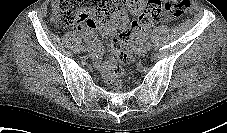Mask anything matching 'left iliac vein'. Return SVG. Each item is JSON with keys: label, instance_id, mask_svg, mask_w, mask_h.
I'll return each instance as SVG.
<instances>
[{"label": "left iliac vein", "instance_id": "obj_1", "mask_svg": "<svg viewBox=\"0 0 227 133\" xmlns=\"http://www.w3.org/2000/svg\"><path fill=\"white\" fill-rule=\"evenodd\" d=\"M148 50L149 49H148V46L147 45H144V46L140 47V49H139V55L140 56H145L147 54Z\"/></svg>", "mask_w": 227, "mask_h": 133}]
</instances>
